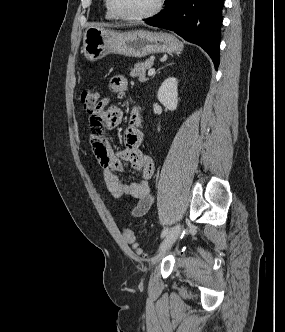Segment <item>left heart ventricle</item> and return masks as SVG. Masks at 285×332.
Here are the masks:
<instances>
[{"label": "left heart ventricle", "instance_id": "1", "mask_svg": "<svg viewBox=\"0 0 285 332\" xmlns=\"http://www.w3.org/2000/svg\"><path fill=\"white\" fill-rule=\"evenodd\" d=\"M157 0H112L115 9L126 16H136L149 12Z\"/></svg>", "mask_w": 285, "mask_h": 332}]
</instances>
